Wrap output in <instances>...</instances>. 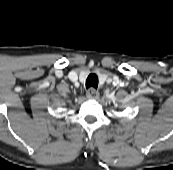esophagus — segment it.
<instances>
[{"mask_svg": "<svg viewBox=\"0 0 173 170\" xmlns=\"http://www.w3.org/2000/svg\"><path fill=\"white\" fill-rule=\"evenodd\" d=\"M86 97L88 99H97L99 97V92L94 88H90L86 92Z\"/></svg>", "mask_w": 173, "mask_h": 170, "instance_id": "obj_1", "label": "esophagus"}]
</instances>
